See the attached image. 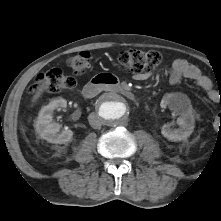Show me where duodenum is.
Instances as JSON below:
<instances>
[{
  "label": "duodenum",
  "mask_w": 221,
  "mask_h": 221,
  "mask_svg": "<svg viewBox=\"0 0 221 221\" xmlns=\"http://www.w3.org/2000/svg\"><path fill=\"white\" fill-rule=\"evenodd\" d=\"M107 89L113 93L120 94L128 99H134L132 91L120 85L115 78L108 75H98L93 77L83 88L85 98L95 97L101 90Z\"/></svg>",
  "instance_id": "duodenum-1"
}]
</instances>
